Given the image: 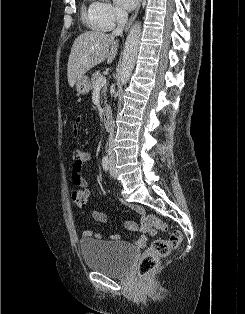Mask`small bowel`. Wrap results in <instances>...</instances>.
Listing matches in <instances>:
<instances>
[{"label": "small bowel", "instance_id": "1", "mask_svg": "<svg viewBox=\"0 0 245 314\" xmlns=\"http://www.w3.org/2000/svg\"><path fill=\"white\" fill-rule=\"evenodd\" d=\"M80 122H81V118L77 117L73 125V132L75 135H77L79 132L78 125L80 124ZM90 158H91V154L87 151L77 150L75 152L74 160L72 163V181L75 185L83 187V188L87 187V182L84 176L82 175V168L90 160ZM134 209L140 213H143V210L140 207L135 206ZM92 218L94 221L100 222V223L106 222L107 220L106 215L102 211H99V210H94L92 212ZM125 226L128 229L133 230V231H143V232H148L149 234L155 233L154 230L151 229L150 226L145 224L144 222L142 226H138L137 224L131 223V222L126 223ZM82 236L83 238L94 237L96 239H100L102 235L101 233H94L92 230H85ZM110 238L115 241L121 240V237L117 234H112ZM146 243H147V236L144 234L134 239V244L139 247H144Z\"/></svg>", "mask_w": 245, "mask_h": 314}]
</instances>
